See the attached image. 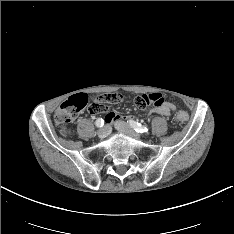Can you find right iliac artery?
I'll return each instance as SVG.
<instances>
[{
  "mask_svg": "<svg viewBox=\"0 0 234 234\" xmlns=\"http://www.w3.org/2000/svg\"><path fill=\"white\" fill-rule=\"evenodd\" d=\"M95 124L97 127H102L104 125V120L99 118L96 120Z\"/></svg>",
  "mask_w": 234,
  "mask_h": 234,
  "instance_id": "1",
  "label": "right iliac artery"
}]
</instances>
